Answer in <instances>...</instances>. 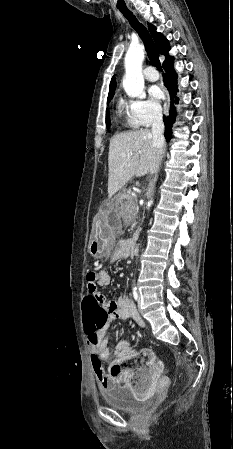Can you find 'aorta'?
I'll return each instance as SVG.
<instances>
[{
	"label": "aorta",
	"mask_w": 233,
	"mask_h": 449,
	"mask_svg": "<svg viewBox=\"0 0 233 449\" xmlns=\"http://www.w3.org/2000/svg\"><path fill=\"white\" fill-rule=\"evenodd\" d=\"M144 48L142 45L130 46L125 56V76L123 87L130 97L145 98L142 62ZM152 204V201L149 202Z\"/></svg>",
	"instance_id": "aorta-1"
}]
</instances>
